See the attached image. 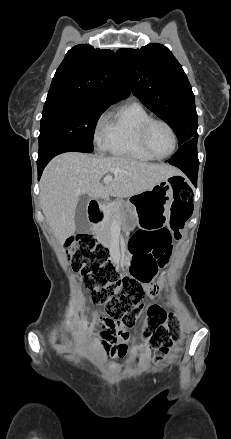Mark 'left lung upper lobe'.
<instances>
[{
	"mask_svg": "<svg viewBox=\"0 0 231 439\" xmlns=\"http://www.w3.org/2000/svg\"><path fill=\"white\" fill-rule=\"evenodd\" d=\"M133 94L164 120L178 137L179 146L197 138L195 96L182 66L162 44L141 49H119L116 53Z\"/></svg>",
	"mask_w": 231,
	"mask_h": 439,
	"instance_id": "obj_1",
	"label": "left lung upper lobe"
}]
</instances>
